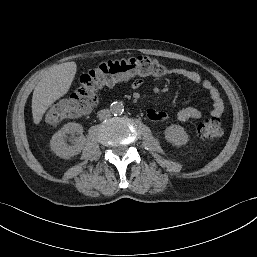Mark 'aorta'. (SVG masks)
I'll list each match as a JSON object with an SVG mask.
<instances>
[{"label": "aorta", "mask_w": 257, "mask_h": 257, "mask_svg": "<svg viewBox=\"0 0 257 257\" xmlns=\"http://www.w3.org/2000/svg\"><path fill=\"white\" fill-rule=\"evenodd\" d=\"M110 111L114 115H121L124 112V105L122 102L115 101L110 105Z\"/></svg>", "instance_id": "762f6f07"}]
</instances>
